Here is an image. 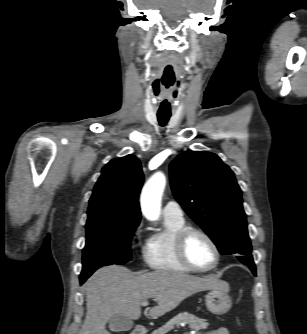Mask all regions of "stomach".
<instances>
[{
  "mask_svg": "<svg viewBox=\"0 0 307 334\" xmlns=\"http://www.w3.org/2000/svg\"><path fill=\"white\" fill-rule=\"evenodd\" d=\"M228 292V283L221 281L219 287L211 289V291H209L205 296L207 309L216 315H223L227 313L232 305Z\"/></svg>",
  "mask_w": 307,
  "mask_h": 334,
  "instance_id": "stomach-1",
  "label": "stomach"
}]
</instances>
